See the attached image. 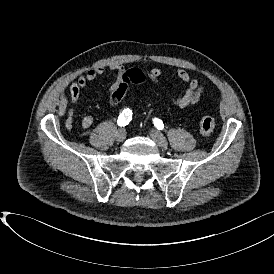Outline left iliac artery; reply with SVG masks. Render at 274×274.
Returning <instances> with one entry per match:
<instances>
[{
    "instance_id": "44dca946",
    "label": "left iliac artery",
    "mask_w": 274,
    "mask_h": 274,
    "mask_svg": "<svg viewBox=\"0 0 274 274\" xmlns=\"http://www.w3.org/2000/svg\"><path fill=\"white\" fill-rule=\"evenodd\" d=\"M153 123H154L155 127L159 130H162L164 128L163 122L158 118H154Z\"/></svg>"
}]
</instances>
